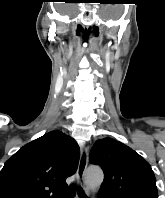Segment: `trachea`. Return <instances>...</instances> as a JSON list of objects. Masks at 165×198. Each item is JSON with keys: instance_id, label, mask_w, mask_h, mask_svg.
I'll return each mask as SVG.
<instances>
[{"instance_id": "trachea-1", "label": "trachea", "mask_w": 165, "mask_h": 198, "mask_svg": "<svg viewBox=\"0 0 165 198\" xmlns=\"http://www.w3.org/2000/svg\"><path fill=\"white\" fill-rule=\"evenodd\" d=\"M79 193L82 195V198H87L82 189H80ZM74 195L75 188L71 186L67 190H65L61 195L57 196V198H73Z\"/></svg>"}]
</instances>
